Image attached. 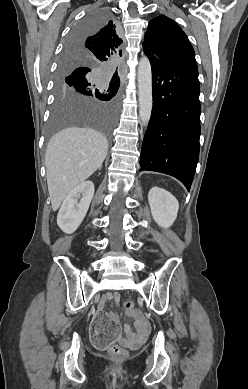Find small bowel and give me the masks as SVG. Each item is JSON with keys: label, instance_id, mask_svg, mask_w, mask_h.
Returning <instances> with one entry per match:
<instances>
[{"label": "small bowel", "instance_id": "c3829d8e", "mask_svg": "<svg viewBox=\"0 0 248 389\" xmlns=\"http://www.w3.org/2000/svg\"><path fill=\"white\" fill-rule=\"evenodd\" d=\"M109 300H114L116 302H119L120 300V294L118 292H108L104 295L103 301H109ZM103 307V303L101 304V308ZM127 315L134 320V328L135 330L132 329V327L129 324L124 325V332L126 337L125 338H120V342H122L124 345L128 347H137L139 346L147 337L149 333V326L147 325L146 321L144 320L142 314L137 311H131L128 312ZM111 318L114 320L117 319V316L114 314L110 315Z\"/></svg>", "mask_w": 248, "mask_h": 389}]
</instances>
